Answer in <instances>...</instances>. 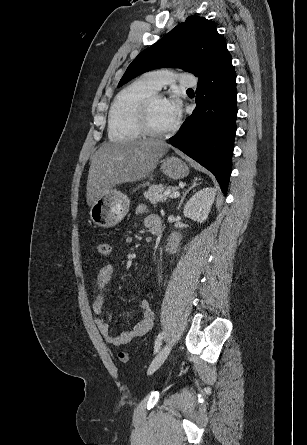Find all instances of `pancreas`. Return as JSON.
I'll return each mask as SVG.
<instances>
[{"label":"pancreas","mask_w":307,"mask_h":445,"mask_svg":"<svg viewBox=\"0 0 307 445\" xmlns=\"http://www.w3.org/2000/svg\"><path fill=\"white\" fill-rule=\"evenodd\" d=\"M165 188H172L173 192H177L178 186H165V184H152L149 186L148 190L143 192L145 198H148L152 204H157V202H165V198H160L158 194H162Z\"/></svg>","instance_id":"obj_1"}]
</instances>
